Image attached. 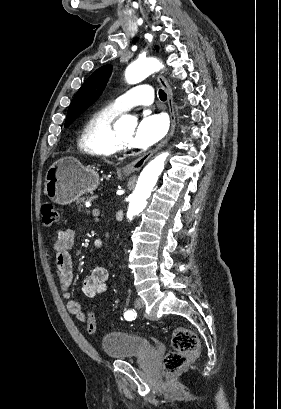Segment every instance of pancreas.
<instances>
[{
	"label": "pancreas",
	"instance_id": "1",
	"mask_svg": "<svg viewBox=\"0 0 281 409\" xmlns=\"http://www.w3.org/2000/svg\"><path fill=\"white\" fill-rule=\"evenodd\" d=\"M86 200H92V198H90V196H84V198H80L77 202H86Z\"/></svg>",
	"mask_w": 281,
	"mask_h": 409
}]
</instances>
